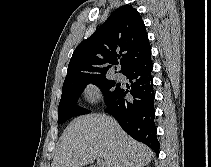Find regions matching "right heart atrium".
Instances as JSON below:
<instances>
[{
  "instance_id": "1",
  "label": "right heart atrium",
  "mask_w": 211,
  "mask_h": 167,
  "mask_svg": "<svg viewBox=\"0 0 211 167\" xmlns=\"http://www.w3.org/2000/svg\"><path fill=\"white\" fill-rule=\"evenodd\" d=\"M85 96L90 101L96 100L99 96V91H98L97 87H95L93 85L87 87V89L85 90Z\"/></svg>"
}]
</instances>
